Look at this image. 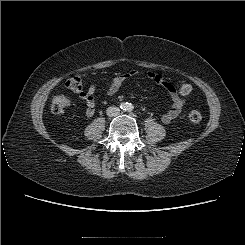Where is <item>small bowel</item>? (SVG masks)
Returning a JSON list of instances; mask_svg holds the SVG:
<instances>
[{
  "label": "small bowel",
  "mask_w": 245,
  "mask_h": 245,
  "mask_svg": "<svg viewBox=\"0 0 245 245\" xmlns=\"http://www.w3.org/2000/svg\"><path fill=\"white\" fill-rule=\"evenodd\" d=\"M137 73L138 72L136 70H131L127 73L115 76L112 79L110 85L108 86L107 95L112 96L116 94L119 88L121 87V85L127 79L136 76ZM147 78L161 85L164 89H166V91L170 95L172 101L171 107L161 117L163 123L169 124L183 112L185 106V100L178 93L175 86L171 82L165 80L161 75L154 72H148ZM95 92H96V86L94 84H91L86 91L80 93V98L86 104V115L88 117H92L95 114V99H94Z\"/></svg>",
  "instance_id": "small-bowel-1"
}]
</instances>
